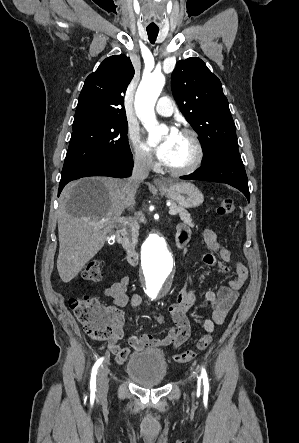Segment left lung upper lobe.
I'll return each mask as SVG.
<instances>
[{"label": "left lung upper lobe", "instance_id": "5c2ea615", "mask_svg": "<svg viewBox=\"0 0 299 443\" xmlns=\"http://www.w3.org/2000/svg\"><path fill=\"white\" fill-rule=\"evenodd\" d=\"M171 87L182 114L203 142L201 164L242 162L227 98L220 80L205 63L194 57L178 61Z\"/></svg>", "mask_w": 299, "mask_h": 443}]
</instances>
